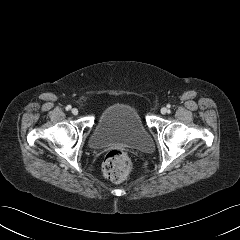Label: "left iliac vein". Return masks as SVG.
<instances>
[{
  "label": "left iliac vein",
  "mask_w": 240,
  "mask_h": 240,
  "mask_svg": "<svg viewBox=\"0 0 240 240\" xmlns=\"http://www.w3.org/2000/svg\"><path fill=\"white\" fill-rule=\"evenodd\" d=\"M167 111H168L167 108H165V107L161 108V113H162V114H166Z\"/></svg>",
  "instance_id": "obj_1"
}]
</instances>
